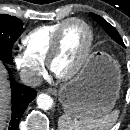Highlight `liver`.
I'll return each mask as SVG.
<instances>
[{
	"label": "liver",
	"mask_w": 130,
	"mask_h": 130,
	"mask_svg": "<svg viewBox=\"0 0 130 130\" xmlns=\"http://www.w3.org/2000/svg\"><path fill=\"white\" fill-rule=\"evenodd\" d=\"M10 104V89L7 79V72L0 62V130H3L6 125V120L9 115Z\"/></svg>",
	"instance_id": "obj_1"
}]
</instances>
